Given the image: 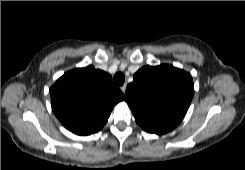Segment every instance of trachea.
<instances>
[{
  "label": "trachea",
  "mask_w": 245,
  "mask_h": 170,
  "mask_svg": "<svg viewBox=\"0 0 245 170\" xmlns=\"http://www.w3.org/2000/svg\"><path fill=\"white\" fill-rule=\"evenodd\" d=\"M114 81L118 86H122L125 81V76L123 73L118 72L114 75Z\"/></svg>",
  "instance_id": "trachea-1"
}]
</instances>
